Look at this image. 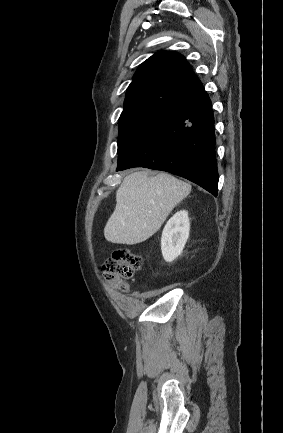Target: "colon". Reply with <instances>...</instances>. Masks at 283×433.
<instances>
[{"label": "colon", "mask_w": 283, "mask_h": 433, "mask_svg": "<svg viewBox=\"0 0 283 433\" xmlns=\"http://www.w3.org/2000/svg\"><path fill=\"white\" fill-rule=\"evenodd\" d=\"M142 266V258L127 249H118L112 257L103 265L105 278L112 282L120 290L127 289L126 280L133 277L134 273Z\"/></svg>", "instance_id": "1"}]
</instances>
